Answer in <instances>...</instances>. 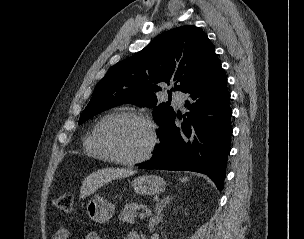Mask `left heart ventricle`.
Listing matches in <instances>:
<instances>
[{"instance_id": "left-heart-ventricle-1", "label": "left heart ventricle", "mask_w": 304, "mask_h": 239, "mask_svg": "<svg viewBox=\"0 0 304 239\" xmlns=\"http://www.w3.org/2000/svg\"><path fill=\"white\" fill-rule=\"evenodd\" d=\"M107 140L115 152L124 158L141 155L151 139L149 127L135 119H125L107 130Z\"/></svg>"}]
</instances>
